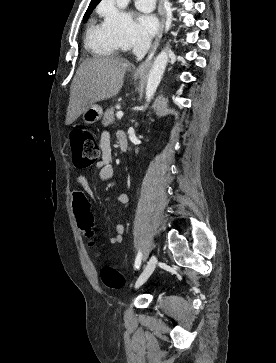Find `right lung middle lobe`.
<instances>
[{"label":"right lung middle lobe","mask_w":276,"mask_h":363,"mask_svg":"<svg viewBox=\"0 0 276 363\" xmlns=\"http://www.w3.org/2000/svg\"><path fill=\"white\" fill-rule=\"evenodd\" d=\"M93 9H94V7H90V8L87 9V11H86V13H85V15L83 17V22H86L88 20V18L90 16V14L92 13Z\"/></svg>","instance_id":"obj_1"}]
</instances>
